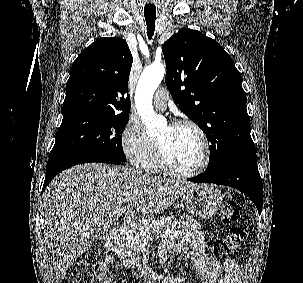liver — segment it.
I'll return each mask as SVG.
<instances>
[{"label": "liver", "instance_id": "1", "mask_svg": "<svg viewBox=\"0 0 303 283\" xmlns=\"http://www.w3.org/2000/svg\"><path fill=\"white\" fill-rule=\"evenodd\" d=\"M197 184L153 177L124 166L78 165L60 173L43 194L44 238L58 281L93 246L94 230L127 209L159 214Z\"/></svg>", "mask_w": 303, "mask_h": 283}]
</instances>
